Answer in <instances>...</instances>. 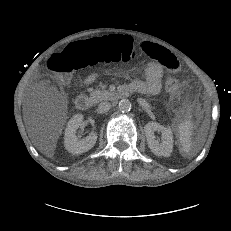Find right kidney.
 Instances as JSON below:
<instances>
[{
    "mask_svg": "<svg viewBox=\"0 0 231 231\" xmlns=\"http://www.w3.org/2000/svg\"><path fill=\"white\" fill-rule=\"evenodd\" d=\"M83 115H74L67 123L64 136L65 149L74 154H82L89 151L97 141V133L91 132L85 139L79 140L76 136V130L82 124Z\"/></svg>",
    "mask_w": 231,
    "mask_h": 231,
    "instance_id": "right-kidney-1",
    "label": "right kidney"
}]
</instances>
